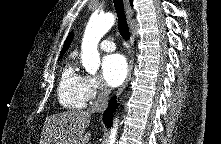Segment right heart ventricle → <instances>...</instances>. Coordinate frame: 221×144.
Wrapping results in <instances>:
<instances>
[{
	"instance_id": "right-heart-ventricle-1",
	"label": "right heart ventricle",
	"mask_w": 221,
	"mask_h": 144,
	"mask_svg": "<svg viewBox=\"0 0 221 144\" xmlns=\"http://www.w3.org/2000/svg\"><path fill=\"white\" fill-rule=\"evenodd\" d=\"M84 76H82L73 61L68 62L62 73L58 85V99L60 104L68 109H82L86 105L83 93Z\"/></svg>"
}]
</instances>
